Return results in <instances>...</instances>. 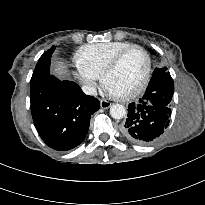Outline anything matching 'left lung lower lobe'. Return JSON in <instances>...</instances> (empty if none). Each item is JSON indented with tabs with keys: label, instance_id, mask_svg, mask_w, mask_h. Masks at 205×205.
I'll return each mask as SVG.
<instances>
[{
	"label": "left lung lower lobe",
	"instance_id": "1",
	"mask_svg": "<svg viewBox=\"0 0 205 205\" xmlns=\"http://www.w3.org/2000/svg\"><path fill=\"white\" fill-rule=\"evenodd\" d=\"M153 94H160V92ZM166 101L157 97L140 98L139 102L129 104L128 118L121 127L123 136L139 145L155 142L169 125L171 109Z\"/></svg>",
	"mask_w": 205,
	"mask_h": 205
}]
</instances>
